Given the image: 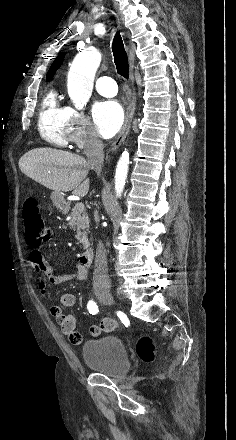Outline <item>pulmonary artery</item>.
<instances>
[{"label":"pulmonary artery","mask_w":236,"mask_h":440,"mask_svg":"<svg viewBox=\"0 0 236 440\" xmlns=\"http://www.w3.org/2000/svg\"><path fill=\"white\" fill-rule=\"evenodd\" d=\"M95 87L99 94L106 97L115 96L117 93L116 82L109 76L99 77L96 81Z\"/></svg>","instance_id":"1"}]
</instances>
